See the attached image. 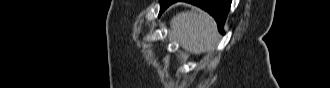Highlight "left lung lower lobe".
Here are the masks:
<instances>
[{"instance_id": "obj_1", "label": "left lung lower lobe", "mask_w": 330, "mask_h": 88, "mask_svg": "<svg viewBox=\"0 0 330 88\" xmlns=\"http://www.w3.org/2000/svg\"><path fill=\"white\" fill-rule=\"evenodd\" d=\"M177 1L188 2L207 11L216 20L219 30L223 32L222 29L230 9L231 0H161L159 16L167 7Z\"/></svg>"}]
</instances>
